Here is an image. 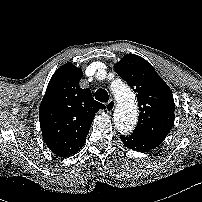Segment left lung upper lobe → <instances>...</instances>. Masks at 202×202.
Wrapping results in <instances>:
<instances>
[{"instance_id": "left-lung-upper-lobe-1", "label": "left lung upper lobe", "mask_w": 202, "mask_h": 202, "mask_svg": "<svg viewBox=\"0 0 202 202\" xmlns=\"http://www.w3.org/2000/svg\"><path fill=\"white\" fill-rule=\"evenodd\" d=\"M117 74L137 93L139 120L133 134L164 140L174 123V99L168 85L151 64L126 54L115 64Z\"/></svg>"}]
</instances>
